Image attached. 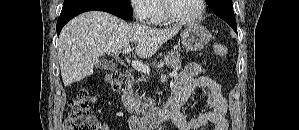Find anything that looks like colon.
<instances>
[{
    "label": "colon",
    "mask_w": 299,
    "mask_h": 130,
    "mask_svg": "<svg viewBox=\"0 0 299 130\" xmlns=\"http://www.w3.org/2000/svg\"><path fill=\"white\" fill-rule=\"evenodd\" d=\"M214 51L219 57H226L228 49L223 44H215ZM108 85L118 90L125 81L124 75L118 71H109L105 75ZM95 101L87 90L79 92L76 100L70 104V112L64 122V130H104L103 124L92 115L91 107Z\"/></svg>",
    "instance_id": "obj_1"
}]
</instances>
